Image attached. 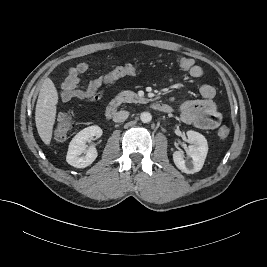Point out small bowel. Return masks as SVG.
Instances as JSON below:
<instances>
[{
    "instance_id": "c3829d8e",
    "label": "small bowel",
    "mask_w": 267,
    "mask_h": 267,
    "mask_svg": "<svg viewBox=\"0 0 267 267\" xmlns=\"http://www.w3.org/2000/svg\"><path fill=\"white\" fill-rule=\"evenodd\" d=\"M88 69L89 65L85 61L68 69L60 86L59 102L65 103L73 98L86 99L89 103H97L101 100L104 92L103 76L93 78L87 84H83L82 75ZM203 73V69L199 65H193L189 70V75L193 78H201ZM200 94L201 99L188 100L179 106L181 120L199 129H215L220 125L222 119L214 101L216 90L210 84H203L200 87Z\"/></svg>"
}]
</instances>
